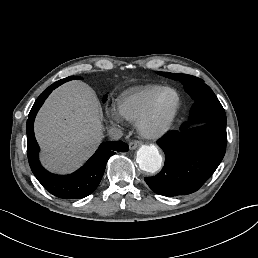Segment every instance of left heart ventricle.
Instances as JSON below:
<instances>
[{
    "mask_svg": "<svg viewBox=\"0 0 258 258\" xmlns=\"http://www.w3.org/2000/svg\"><path fill=\"white\" fill-rule=\"evenodd\" d=\"M174 107V96L172 93L162 94L155 106L154 113L143 123V129L147 133L158 132L170 116Z\"/></svg>",
    "mask_w": 258,
    "mask_h": 258,
    "instance_id": "b2bd125f",
    "label": "left heart ventricle"
}]
</instances>
